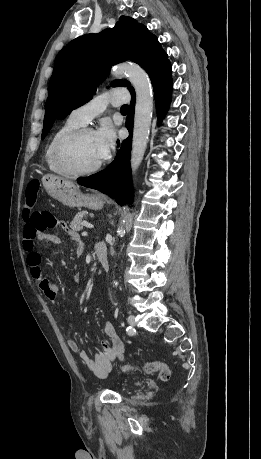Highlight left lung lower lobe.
Wrapping results in <instances>:
<instances>
[{
  "label": "left lung lower lobe",
  "instance_id": "0a47b994",
  "mask_svg": "<svg viewBox=\"0 0 261 459\" xmlns=\"http://www.w3.org/2000/svg\"><path fill=\"white\" fill-rule=\"evenodd\" d=\"M172 68L170 63L162 68L151 80L155 94V103L158 113V122L161 123L167 111L172 91ZM132 100L130 112L125 126L129 130V137L121 144L115 160L103 171L88 178H79L78 184L96 189L114 198L119 205H123L131 193L130 152L132 146V131L134 120L135 93L131 92Z\"/></svg>",
  "mask_w": 261,
  "mask_h": 459
}]
</instances>
